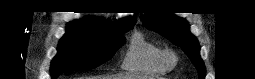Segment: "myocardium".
<instances>
[{
	"mask_svg": "<svg viewBox=\"0 0 255 79\" xmlns=\"http://www.w3.org/2000/svg\"><path fill=\"white\" fill-rule=\"evenodd\" d=\"M161 61L167 69H172L178 63V56L172 49H164L161 51Z\"/></svg>",
	"mask_w": 255,
	"mask_h": 79,
	"instance_id": "obj_1",
	"label": "myocardium"
}]
</instances>
